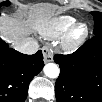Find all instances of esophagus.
Listing matches in <instances>:
<instances>
[{
  "label": "esophagus",
  "mask_w": 102,
  "mask_h": 102,
  "mask_svg": "<svg viewBox=\"0 0 102 102\" xmlns=\"http://www.w3.org/2000/svg\"><path fill=\"white\" fill-rule=\"evenodd\" d=\"M42 52L45 63L53 61V51L49 47L47 46L43 47Z\"/></svg>",
  "instance_id": "esophagus-1"
}]
</instances>
